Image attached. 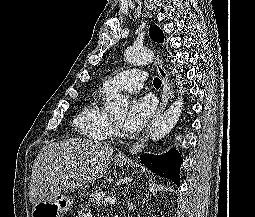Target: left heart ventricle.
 <instances>
[{"instance_id":"left-heart-ventricle-1","label":"left heart ventricle","mask_w":255,"mask_h":217,"mask_svg":"<svg viewBox=\"0 0 255 217\" xmlns=\"http://www.w3.org/2000/svg\"><path fill=\"white\" fill-rule=\"evenodd\" d=\"M122 117H123V115H115V116H114V118H115L116 120H120V119H122Z\"/></svg>"}]
</instances>
